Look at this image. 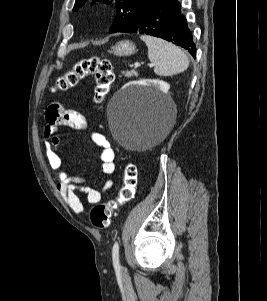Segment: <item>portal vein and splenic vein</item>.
<instances>
[{
  "instance_id": "obj_1",
  "label": "portal vein and splenic vein",
  "mask_w": 267,
  "mask_h": 301,
  "mask_svg": "<svg viewBox=\"0 0 267 301\" xmlns=\"http://www.w3.org/2000/svg\"><path fill=\"white\" fill-rule=\"evenodd\" d=\"M152 66H153V65L151 64L150 67H152ZM134 67H135V68L140 67V63H138V62L134 63Z\"/></svg>"
}]
</instances>
